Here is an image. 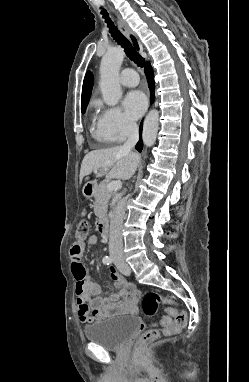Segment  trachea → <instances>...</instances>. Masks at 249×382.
I'll return each instance as SVG.
<instances>
[{"label": "trachea", "mask_w": 249, "mask_h": 382, "mask_svg": "<svg viewBox=\"0 0 249 382\" xmlns=\"http://www.w3.org/2000/svg\"><path fill=\"white\" fill-rule=\"evenodd\" d=\"M101 14L103 15V18L107 23L109 32L113 39L124 48V51L130 60L134 61L138 66L143 67L145 63L144 58L132 47L131 43L120 33V31L109 18V15L106 12V10L102 9Z\"/></svg>", "instance_id": "obj_1"}]
</instances>
